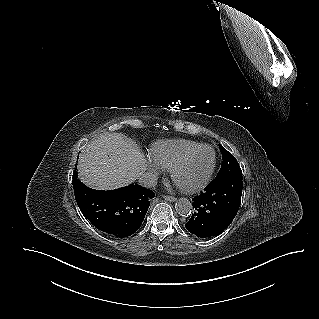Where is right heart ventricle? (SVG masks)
Returning <instances> with one entry per match:
<instances>
[{"label":"right heart ventricle","instance_id":"obj_1","mask_svg":"<svg viewBox=\"0 0 319 319\" xmlns=\"http://www.w3.org/2000/svg\"><path fill=\"white\" fill-rule=\"evenodd\" d=\"M199 144L186 139L161 140L151 146L150 156L158 166L170 170L183 154Z\"/></svg>","mask_w":319,"mask_h":319}]
</instances>
